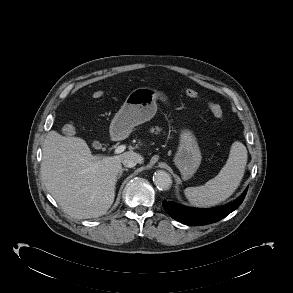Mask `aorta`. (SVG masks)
Returning a JSON list of instances; mask_svg holds the SVG:
<instances>
[{"label":"aorta","instance_id":"obj_1","mask_svg":"<svg viewBox=\"0 0 293 293\" xmlns=\"http://www.w3.org/2000/svg\"><path fill=\"white\" fill-rule=\"evenodd\" d=\"M153 182L160 190H168L172 185L170 174L164 170H158L154 173Z\"/></svg>","mask_w":293,"mask_h":293}]
</instances>
